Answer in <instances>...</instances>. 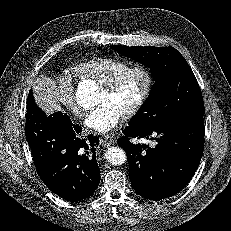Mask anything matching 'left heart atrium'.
<instances>
[{
    "label": "left heart atrium",
    "mask_w": 231,
    "mask_h": 231,
    "mask_svg": "<svg viewBox=\"0 0 231 231\" xmlns=\"http://www.w3.org/2000/svg\"><path fill=\"white\" fill-rule=\"evenodd\" d=\"M123 118L121 109L111 102H105L86 115L84 125L90 130L105 133L118 127Z\"/></svg>",
    "instance_id": "left-heart-atrium-1"
}]
</instances>
